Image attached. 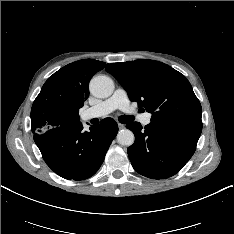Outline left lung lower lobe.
<instances>
[{
	"mask_svg": "<svg viewBox=\"0 0 234 234\" xmlns=\"http://www.w3.org/2000/svg\"><path fill=\"white\" fill-rule=\"evenodd\" d=\"M135 135L128 156L136 172L152 179L175 175L195 152L202 131L198 118L138 122L126 125Z\"/></svg>",
	"mask_w": 234,
	"mask_h": 234,
	"instance_id": "0a47b994",
	"label": "left lung lower lobe"
}]
</instances>
